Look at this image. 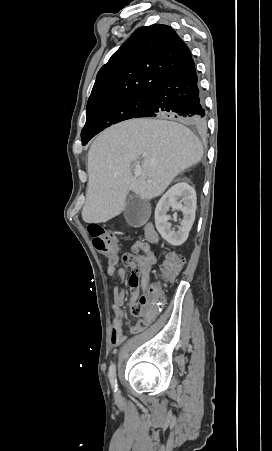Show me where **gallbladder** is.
Segmentation results:
<instances>
[{
  "label": "gallbladder",
  "mask_w": 272,
  "mask_h": 451,
  "mask_svg": "<svg viewBox=\"0 0 272 451\" xmlns=\"http://www.w3.org/2000/svg\"><path fill=\"white\" fill-rule=\"evenodd\" d=\"M149 208L147 200H142L139 196H130L124 210V218L130 226H143L149 218Z\"/></svg>",
  "instance_id": "bac80fb5"
}]
</instances>
